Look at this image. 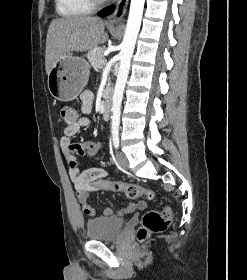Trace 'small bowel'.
Here are the masks:
<instances>
[{
	"instance_id": "small-bowel-1",
	"label": "small bowel",
	"mask_w": 247,
	"mask_h": 280,
	"mask_svg": "<svg viewBox=\"0 0 247 280\" xmlns=\"http://www.w3.org/2000/svg\"><path fill=\"white\" fill-rule=\"evenodd\" d=\"M82 100V110L84 113H88L90 111V107L93 101V94L90 91H85L81 95ZM90 120L87 116H81L78 120L72 124L67 125L64 129L63 136L60 140L62 150L64 155L68 161L76 160L75 154L70 149L71 146V139L79 132V130L83 127L88 126ZM71 176L74 182V187L76 191V197L78 202L82 207V211L84 214L88 216H95L96 210L90 205V193L100 190H106L105 188H93L86 187L85 181L86 180H93V179H101L102 177H107L108 174L105 170L100 168H92L83 172H79L77 168H71ZM92 174H96V176H92ZM145 203L139 202L138 204L129 203L124 208L119 211L120 215H124L127 213H131L137 208H144ZM102 214L106 217L113 215V210L110 207H106L103 209Z\"/></svg>"
}]
</instances>
